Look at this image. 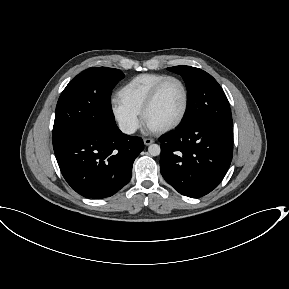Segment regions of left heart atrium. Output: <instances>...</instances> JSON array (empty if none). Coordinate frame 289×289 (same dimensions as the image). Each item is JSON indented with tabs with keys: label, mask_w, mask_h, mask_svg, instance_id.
<instances>
[{
	"label": "left heart atrium",
	"mask_w": 289,
	"mask_h": 289,
	"mask_svg": "<svg viewBox=\"0 0 289 289\" xmlns=\"http://www.w3.org/2000/svg\"><path fill=\"white\" fill-rule=\"evenodd\" d=\"M146 128H147V130L150 131V132H155V131L158 130L156 127H154V126H152V125H150V124H148V123L146 124Z\"/></svg>",
	"instance_id": "obj_1"
}]
</instances>
